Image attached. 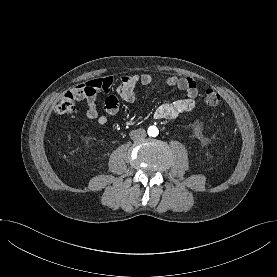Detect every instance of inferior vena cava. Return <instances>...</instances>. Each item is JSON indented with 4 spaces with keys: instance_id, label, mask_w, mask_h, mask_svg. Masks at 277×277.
<instances>
[{
    "instance_id": "1",
    "label": "inferior vena cava",
    "mask_w": 277,
    "mask_h": 277,
    "mask_svg": "<svg viewBox=\"0 0 277 277\" xmlns=\"http://www.w3.org/2000/svg\"><path fill=\"white\" fill-rule=\"evenodd\" d=\"M129 135L132 140H139L146 137V131L142 128H139L132 130Z\"/></svg>"
}]
</instances>
